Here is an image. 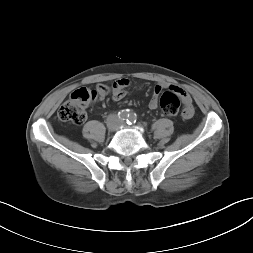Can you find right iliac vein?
<instances>
[{"label": "right iliac vein", "instance_id": "obj_1", "mask_svg": "<svg viewBox=\"0 0 253 253\" xmlns=\"http://www.w3.org/2000/svg\"><path fill=\"white\" fill-rule=\"evenodd\" d=\"M107 127L110 131H113L115 129L114 121L111 120L110 122H108Z\"/></svg>", "mask_w": 253, "mask_h": 253}]
</instances>
